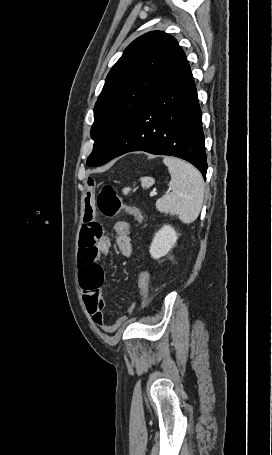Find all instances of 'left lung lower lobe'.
<instances>
[{
    "mask_svg": "<svg viewBox=\"0 0 272 455\" xmlns=\"http://www.w3.org/2000/svg\"><path fill=\"white\" fill-rule=\"evenodd\" d=\"M202 113L188 65L133 119L102 164L132 151L184 159L206 178Z\"/></svg>",
    "mask_w": 272,
    "mask_h": 455,
    "instance_id": "0a47b994",
    "label": "left lung lower lobe"
}]
</instances>
